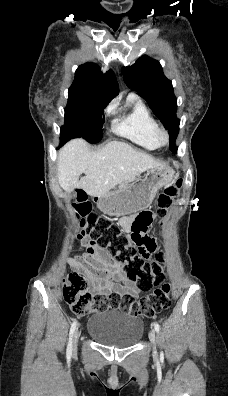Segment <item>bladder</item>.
<instances>
[{"label": "bladder", "instance_id": "1", "mask_svg": "<svg viewBox=\"0 0 228 396\" xmlns=\"http://www.w3.org/2000/svg\"><path fill=\"white\" fill-rule=\"evenodd\" d=\"M87 332L102 345L127 348L142 339L144 321L136 314L109 310L92 315L87 322Z\"/></svg>", "mask_w": 228, "mask_h": 396}]
</instances>
